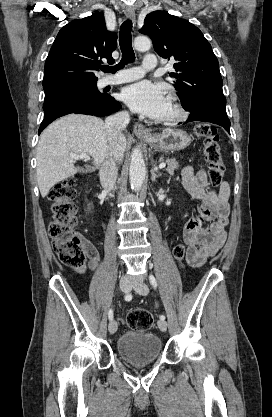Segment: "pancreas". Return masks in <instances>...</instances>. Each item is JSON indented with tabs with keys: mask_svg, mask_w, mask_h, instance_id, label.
<instances>
[{
	"mask_svg": "<svg viewBox=\"0 0 272 417\" xmlns=\"http://www.w3.org/2000/svg\"><path fill=\"white\" fill-rule=\"evenodd\" d=\"M166 163L168 165L167 168H166V171L169 174H174V171H175V169L177 168V165H178L176 159H174V158H172V159L167 158L166 159Z\"/></svg>",
	"mask_w": 272,
	"mask_h": 417,
	"instance_id": "cf45deb5",
	"label": "pancreas"
}]
</instances>
